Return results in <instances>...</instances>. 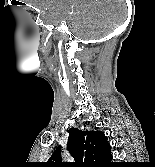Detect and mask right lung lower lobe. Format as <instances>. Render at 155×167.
<instances>
[{"instance_id": "1", "label": "right lung lower lobe", "mask_w": 155, "mask_h": 167, "mask_svg": "<svg viewBox=\"0 0 155 167\" xmlns=\"http://www.w3.org/2000/svg\"><path fill=\"white\" fill-rule=\"evenodd\" d=\"M114 166H116V165H111L110 167H114Z\"/></svg>"}]
</instances>
